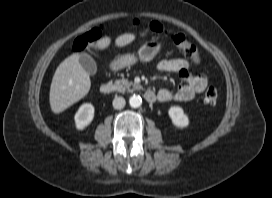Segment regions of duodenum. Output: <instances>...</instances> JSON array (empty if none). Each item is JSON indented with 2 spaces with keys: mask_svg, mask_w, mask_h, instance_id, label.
Returning <instances> with one entry per match:
<instances>
[{
  "mask_svg": "<svg viewBox=\"0 0 272 198\" xmlns=\"http://www.w3.org/2000/svg\"><path fill=\"white\" fill-rule=\"evenodd\" d=\"M100 92L104 95H111L114 92V86L109 83H104L100 87ZM145 100L147 102H154L156 100V95L154 92L148 90L144 93Z\"/></svg>",
  "mask_w": 272,
  "mask_h": 198,
  "instance_id": "1",
  "label": "duodenum"
}]
</instances>
